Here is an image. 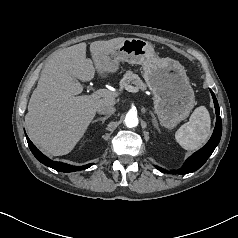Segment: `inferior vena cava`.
Here are the masks:
<instances>
[{
    "instance_id": "inferior-vena-cava-1",
    "label": "inferior vena cava",
    "mask_w": 238,
    "mask_h": 238,
    "mask_svg": "<svg viewBox=\"0 0 238 238\" xmlns=\"http://www.w3.org/2000/svg\"><path fill=\"white\" fill-rule=\"evenodd\" d=\"M97 112L99 114H104V115H111L114 114L115 112V107L111 105H100L97 108Z\"/></svg>"
}]
</instances>
